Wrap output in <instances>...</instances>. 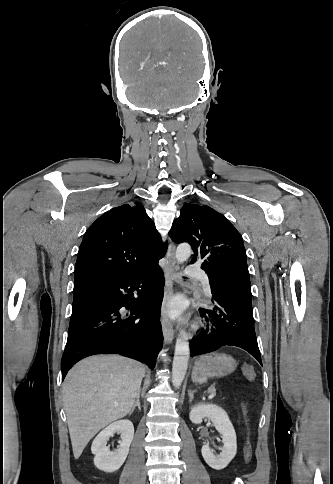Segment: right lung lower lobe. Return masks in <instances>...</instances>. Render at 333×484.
<instances>
[{
    "label": "right lung lower lobe",
    "mask_w": 333,
    "mask_h": 484,
    "mask_svg": "<svg viewBox=\"0 0 333 484\" xmlns=\"http://www.w3.org/2000/svg\"><path fill=\"white\" fill-rule=\"evenodd\" d=\"M163 288L158 264L129 278L92 277L74 282L62 380L76 362L95 354L125 355L153 369L163 340L159 321Z\"/></svg>",
    "instance_id": "obj_1"
}]
</instances>
